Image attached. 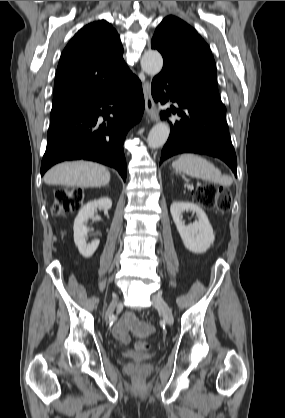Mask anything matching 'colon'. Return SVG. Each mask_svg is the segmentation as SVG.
Returning a JSON list of instances; mask_svg holds the SVG:
<instances>
[{
    "label": "colon",
    "mask_w": 285,
    "mask_h": 418,
    "mask_svg": "<svg viewBox=\"0 0 285 418\" xmlns=\"http://www.w3.org/2000/svg\"><path fill=\"white\" fill-rule=\"evenodd\" d=\"M195 202L201 204L207 209H217L220 212H227L231 208L232 199L230 192L215 184H206L193 192ZM83 194L80 190L59 189L55 192V203L52 212L55 216H61L77 212L82 204ZM135 348L140 351H146L150 348L144 341L137 342ZM138 387L143 386V381L135 379Z\"/></svg>",
    "instance_id": "colon-1"
}]
</instances>
